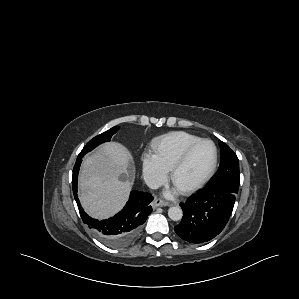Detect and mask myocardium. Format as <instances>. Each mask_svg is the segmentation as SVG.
Segmentation results:
<instances>
[{"mask_svg":"<svg viewBox=\"0 0 299 299\" xmlns=\"http://www.w3.org/2000/svg\"><path fill=\"white\" fill-rule=\"evenodd\" d=\"M204 143H209L214 148L213 164H212L209 172L201 180H199L198 182L194 183L193 185H191L189 187L179 189L182 193H185V194L192 193V192L200 189L201 187H203L213 177V175L217 169L219 152H218V148H217L216 144L210 139H201V140L195 142L194 144H192L191 146H189L183 152V154L180 156V158L176 161V163L173 165V167L170 170V179H171L172 183L175 185V177H176L177 173L179 172V170L187 163L188 159L190 158V156L194 152V150L197 147H199L201 144H204Z\"/></svg>","mask_w":299,"mask_h":299,"instance_id":"myocardium-1","label":"myocardium"}]
</instances>
